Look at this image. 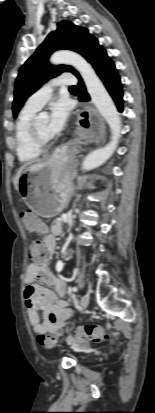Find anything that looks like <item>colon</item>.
I'll return each mask as SVG.
<instances>
[{
    "mask_svg": "<svg viewBox=\"0 0 155 413\" xmlns=\"http://www.w3.org/2000/svg\"><path fill=\"white\" fill-rule=\"evenodd\" d=\"M46 248L41 242H35L30 248L29 257L37 262L42 263L46 260ZM75 346L84 347L86 343H112L111 335L102 327L86 325L73 333ZM39 343L47 348L54 345L55 340L47 335H41L38 338Z\"/></svg>",
    "mask_w": 155,
    "mask_h": 413,
    "instance_id": "1",
    "label": "colon"
}]
</instances>
